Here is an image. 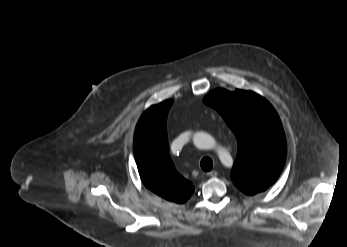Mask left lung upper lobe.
<instances>
[{
    "instance_id": "obj_1",
    "label": "left lung upper lobe",
    "mask_w": 347,
    "mask_h": 247,
    "mask_svg": "<svg viewBox=\"0 0 347 247\" xmlns=\"http://www.w3.org/2000/svg\"><path fill=\"white\" fill-rule=\"evenodd\" d=\"M204 103L216 109L234 132L237 158L231 179L247 195L265 191L280 175L286 139L272 105L252 91L215 89Z\"/></svg>"
}]
</instances>
